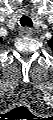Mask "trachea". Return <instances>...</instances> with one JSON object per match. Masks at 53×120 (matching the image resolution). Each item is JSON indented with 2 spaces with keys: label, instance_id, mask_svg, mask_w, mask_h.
<instances>
[{
  "label": "trachea",
  "instance_id": "trachea-1",
  "mask_svg": "<svg viewBox=\"0 0 53 120\" xmlns=\"http://www.w3.org/2000/svg\"><path fill=\"white\" fill-rule=\"evenodd\" d=\"M20 24H21L22 26H29V27H31L32 24H33V22H32V20H31L30 17H28V16H23V17H21V19H20Z\"/></svg>",
  "mask_w": 53,
  "mask_h": 120
}]
</instances>
